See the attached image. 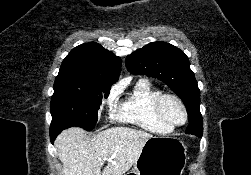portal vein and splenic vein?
Listing matches in <instances>:
<instances>
[{
	"instance_id": "obj_1",
	"label": "portal vein and splenic vein",
	"mask_w": 251,
	"mask_h": 175,
	"mask_svg": "<svg viewBox=\"0 0 251 175\" xmlns=\"http://www.w3.org/2000/svg\"><path fill=\"white\" fill-rule=\"evenodd\" d=\"M102 161H112V157H103Z\"/></svg>"
}]
</instances>
